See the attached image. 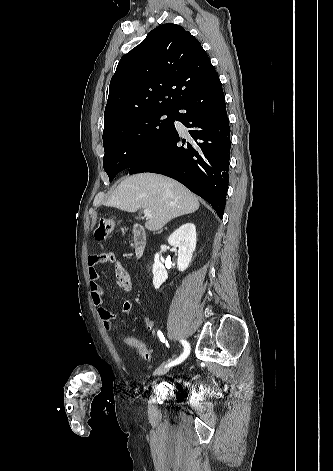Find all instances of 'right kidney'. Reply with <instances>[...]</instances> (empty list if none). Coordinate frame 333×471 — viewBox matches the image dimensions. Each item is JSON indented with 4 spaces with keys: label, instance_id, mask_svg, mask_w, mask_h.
<instances>
[{
    "label": "right kidney",
    "instance_id": "obj_1",
    "mask_svg": "<svg viewBox=\"0 0 333 471\" xmlns=\"http://www.w3.org/2000/svg\"><path fill=\"white\" fill-rule=\"evenodd\" d=\"M196 239V227L193 223L182 225L168 238L171 246L178 247L177 267L181 272L185 271L191 262L196 248ZM152 274L154 288L159 289L168 278L167 271L159 260V254H155Z\"/></svg>",
    "mask_w": 333,
    "mask_h": 471
}]
</instances>
